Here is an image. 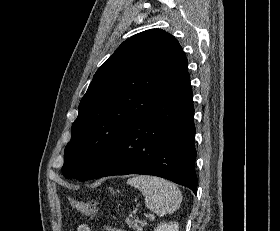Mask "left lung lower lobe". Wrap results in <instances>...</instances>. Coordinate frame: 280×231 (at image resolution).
I'll return each instance as SVG.
<instances>
[{"label": "left lung lower lobe", "instance_id": "0a47b994", "mask_svg": "<svg viewBox=\"0 0 280 231\" xmlns=\"http://www.w3.org/2000/svg\"><path fill=\"white\" fill-rule=\"evenodd\" d=\"M192 96L187 77L117 139L89 179L147 174L187 186L196 194Z\"/></svg>", "mask_w": 280, "mask_h": 231}]
</instances>
